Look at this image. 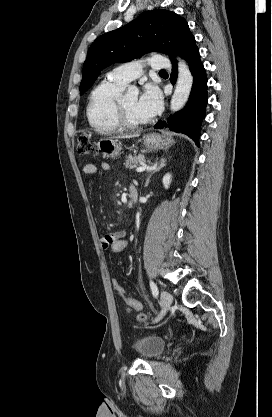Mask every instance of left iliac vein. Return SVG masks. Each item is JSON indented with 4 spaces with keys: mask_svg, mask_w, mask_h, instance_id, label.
<instances>
[{
    "mask_svg": "<svg viewBox=\"0 0 272 417\" xmlns=\"http://www.w3.org/2000/svg\"><path fill=\"white\" fill-rule=\"evenodd\" d=\"M160 301H161L162 311H161V314L155 319L154 322L159 321L165 315V313L168 311V309L170 308L173 302V298L171 294L168 293L167 291H162L160 294Z\"/></svg>",
    "mask_w": 272,
    "mask_h": 417,
    "instance_id": "obj_1",
    "label": "left iliac vein"
}]
</instances>
